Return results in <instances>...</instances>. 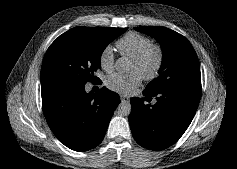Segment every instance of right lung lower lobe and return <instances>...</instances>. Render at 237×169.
Instances as JSON below:
<instances>
[{"instance_id": "98d812e1", "label": "right lung lower lobe", "mask_w": 237, "mask_h": 169, "mask_svg": "<svg viewBox=\"0 0 237 169\" xmlns=\"http://www.w3.org/2000/svg\"><path fill=\"white\" fill-rule=\"evenodd\" d=\"M42 107L54 135L68 148L87 151L101 143L119 95L103 87L85 92V84L50 80L41 82Z\"/></svg>"}]
</instances>
